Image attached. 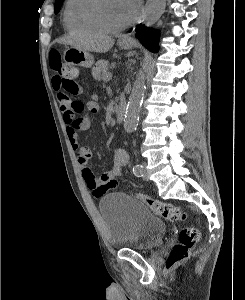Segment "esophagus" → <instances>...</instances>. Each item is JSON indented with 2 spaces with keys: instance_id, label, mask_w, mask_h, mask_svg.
<instances>
[{
  "instance_id": "1",
  "label": "esophagus",
  "mask_w": 245,
  "mask_h": 300,
  "mask_svg": "<svg viewBox=\"0 0 245 300\" xmlns=\"http://www.w3.org/2000/svg\"><path fill=\"white\" fill-rule=\"evenodd\" d=\"M122 41H130L131 37L129 35H124L120 38Z\"/></svg>"
}]
</instances>
